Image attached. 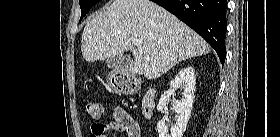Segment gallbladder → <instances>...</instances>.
Masks as SVG:
<instances>
[{
  "mask_svg": "<svg viewBox=\"0 0 280 137\" xmlns=\"http://www.w3.org/2000/svg\"><path fill=\"white\" fill-rule=\"evenodd\" d=\"M105 63L109 69L115 72L128 71L133 65V61L130 57L125 55L109 57L105 60Z\"/></svg>",
  "mask_w": 280,
  "mask_h": 137,
  "instance_id": "obj_1",
  "label": "gallbladder"
}]
</instances>
